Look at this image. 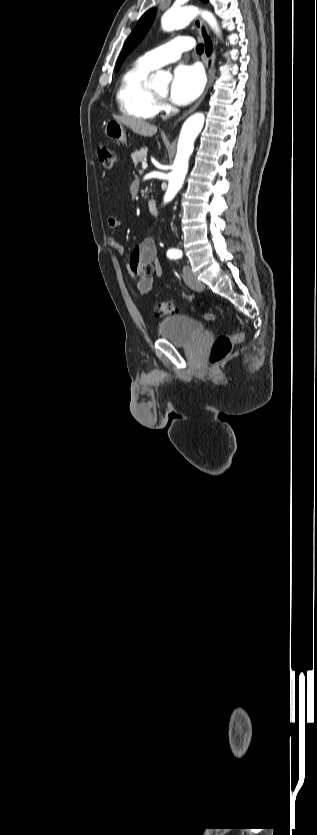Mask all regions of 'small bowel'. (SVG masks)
<instances>
[{
	"instance_id": "obj_1",
	"label": "small bowel",
	"mask_w": 317,
	"mask_h": 835,
	"mask_svg": "<svg viewBox=\"0 0 317 835\" xmlns=\"http://www.w3.org/2000/svg\"><path fill=\"white\" fill-rule=\"evenodd\" d=\"M121 225L119 218L110 216L107 219V226L110 230H115ZM110 246L120 255L126 253L125 247L118 242L114 236L108 237ZM144 262L153 265V273L151 275L144 274L140 271V265ZM128 271L131 276L139 278L137 287L141 293H147L151 290L153 284V274L160 278L163 274L161 265L157 259V246L152 238H145L138 243L128 255Z\"/></svg>"
}]
</instances>
